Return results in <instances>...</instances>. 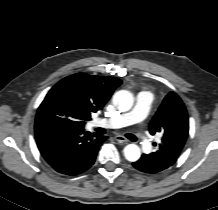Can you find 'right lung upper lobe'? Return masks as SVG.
<instances>
[{
  "mask_svg": "<svg viewBox=\"0 0 218 210\" xmlns=\"http://www.w3.org/2000/svg\"><path fill=\"white\" fill-rule=\"evenodd\" d=\"M121 83L115 77L77 73L62 79L51 90L70 99L85 120H90L91 114L103 108Z\"/></svg>",
  "mask_w": 218,
  "mask_h": 210,
  "instance_id": "obj_1",
  "label": "right lung upper lobe"
}]
</instances>
